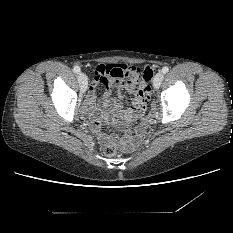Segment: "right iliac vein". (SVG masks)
<instances>
[{"label":"right iliac vein","instance_id":"right-iliac-vein-1","mask_svg":"<svg viewBox=\"0 0 233 233\" xmlns=\"http://www.w3.org/2000/svg\"><path fill=\"white\" fill-rule=\"evenodd\" d=\"M78 81L80 83L81 92H85L87 90V86H88V78H87L86 74L80 73L78 75Z\"/></svg>","mask_w":233,"mask_h":233}]
</instances>
